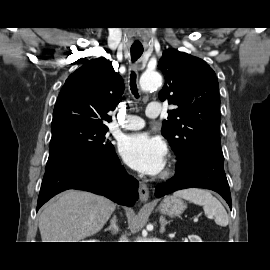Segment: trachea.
<instances>
[{"label": "trachea", "instance_id": "obj_1", "mask_svg": "<svg viewBox=\"0 0 270 270\" xmlns=\"http://www.w3.org/2000/svg\"><path fill=\"white\" fill-rule=\"evenodd\" d=\"M142 53H143V48H137V47L133 48V47H131V59H132V62H135L138 58H140ZM130 86H131L132 94L136 98H139L138 89H137V85H136V74L133 71L131 73Z\"/></svg>", "mask_w": 270, "mask_h": 270}]
</instances>
